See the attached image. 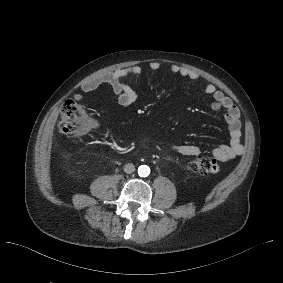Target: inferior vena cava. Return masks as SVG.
Instances as JSON below:
<instances>
[{"label":"inferior vena cava","instance_id":"1","mask_svg":"<svg viewBox=\"0 0 283 283\" xmlns=\"http://www.w3.org/2000/svg\"><path fill=\"white\" fill-rule=\"evenodd\" d=\"M124 171L128 174L133 173L135 171V166L131 163H128L124 166Z\"/></svg>","mask_w":283,"mask_h":283}]
</instances>
